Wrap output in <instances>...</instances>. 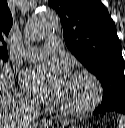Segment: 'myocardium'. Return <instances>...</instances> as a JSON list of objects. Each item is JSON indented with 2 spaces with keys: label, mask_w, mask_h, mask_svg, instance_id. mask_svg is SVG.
Masks as SVG:
<instances>
[{
  "label": "myocardium",
  "mask_w": 125,
  "mask_h": 128,
  "mask_svg": "<svg viewBox=\"0 0 125 128\" xmlns=\"http://www.w3.org/2000/svg\"><path fill=\"white\" fill-rule=\"evenodd\" d=\"M72 77L87 82L91 88V94L86 102L76 107L60 105V112L66 116H80L93 110L100 103L102 98V86L96 76L85 70L75 71Z\"/></svg>",
  "instance_id": "myocardium-1"
}]
</instances>
